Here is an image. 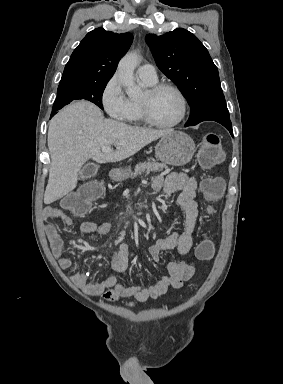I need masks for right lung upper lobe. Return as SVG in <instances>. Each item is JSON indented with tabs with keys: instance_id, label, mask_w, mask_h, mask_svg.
<instances>
[{
	"instance_id": "cb5924a9",
	"label": "right lung upper lobe",
	"mask_w": 283,
	"mask_h": 384,
	"mask_svg": "<svg viewBox=\"0 0 283 384\" xmlns=\"http://www.w3.org/2000/svg\"><path fill=\"white\" fill-rule=\"evenodd\" d=\"M132 41L131 33L89 32L72 53L59 86L108 82Z\"/></svg>"
}]
</instances>
